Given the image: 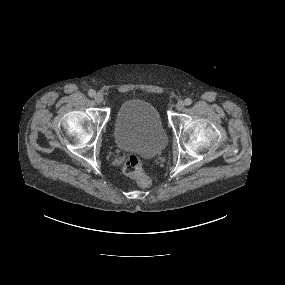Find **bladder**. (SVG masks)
<instances>
[{
  "mask_svg": "<svg viewBox=\"0 0 285 285\" xmlns=\"http://www.w3.org/2000/svg\"><path fill=\"white\" fill-rule=\"evenodd\" d=\"M114 138L119 148L144 157L158 155L167 144V135L157 109L139 99L128 100L118 108Z\"/></svg>",
  "mask_w": 285,
  "mask_h": 285,
  "instance_id": "obj_1",
  "label": "bladder"
}]
</instances>
